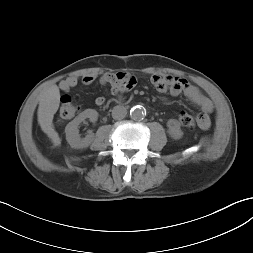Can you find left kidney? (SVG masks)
Instances as JSON below:
<instances>
[{
  "label": "left kidney",
  "instance_id": "1",
  "mask_svg": "<svg viewBox=\"0 0 253 253\" xmlns=\"http://www.w3.org/2000/svg\"><path fill=\"white\" fill-rule=\"evenodd\" d=\"M168 133L173 139H180L183 136V132L177 120L169 119L167 122Z\"/></svg>",
  "mask_w": 253,
  "mask_h": 253
}]
</instances>
